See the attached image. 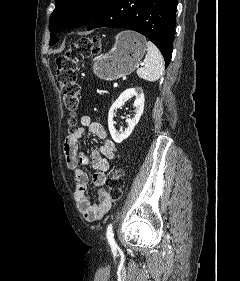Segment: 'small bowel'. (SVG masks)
<instances>
[{"instance_id":"c3829d8e","label":"small bowel","mask_w":240,"mask_h":281,"mask_svg":"<svg viewBox=\"0 0 240 281\" xmlns=\"http://www.w3.org/2000/svg\"><path fill=\"white\" fill-rule=\"evenodd\" d=\"M86 129L102 140L100 148L93 150L89 156L79 148V140ZM116 150V144L108 137L104 126L93 121L88 115L82 116L80 126L66 137L64 154L67 167L74 174L76 184L74 199L80 212L89 222L100 220L111 208L112 202L104 185L110 161L115 158ZM81 165H90L95 171L92 176V184L98 193L97 202H93L87 194L89 178Z\"/></svg>"}]
</instances>
